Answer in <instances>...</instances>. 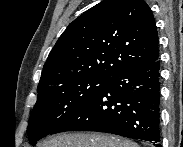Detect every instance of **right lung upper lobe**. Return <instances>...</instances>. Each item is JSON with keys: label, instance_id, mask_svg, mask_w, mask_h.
I'll list each match as a JSON object with an SVG mask.
<instances>
[{"label": "right lung upper lobe", "instance_id": "1", "mask_svg": "<svg viewBox=\"0 0 183 147\" xmlns=\"http://www.w3.org/2000/svg\"><path fill=\"white\" fill-rule=\"evenodd\" d=\"M158 35L144 0H103L69 24L44 65L38 89L116 73L158 59Z\"/></svg>", "mask_w": 183, "mask_h": 147}]
</instances>
